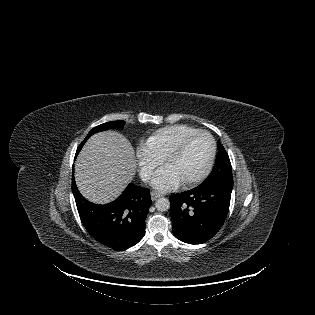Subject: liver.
I'll use <instances>...</instances> for the list:
<instances>
[{"instance_id": "liver-1", "label": "liver", "mask_w": 315, "mask_h": 315, "mask_svg": "<svg viewBox=\"0 0 315 315\" xmlns=\"http://www.w3.org/2000/svg\"><path fill=\"white\" fill-rule=\"evenodd\" d=\"M136 160L131 143L115 131L94 134L75 163V180L81 194L98 204L117 198L131 182Z\"/></svg>"}]
</instances>
